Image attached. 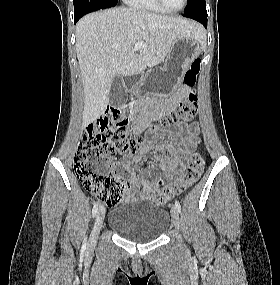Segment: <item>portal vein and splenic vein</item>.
Returning a JSON list of instances; mask_svg holds the SVG:
<instances>
[{
	"label": "portal vein and splenic vein",
	"instance_id": "portal-vein-and-splenic-vein-1",
	"mask_svg": "<svg viewBox=\"0 0 280 285\" xmlns=\"http://www.w3.org/2000/svg\"><path fill=\"white\" fill-rule=\"evenodd\" d=\"M142 47H144V45L141 42L138 41L134 45V50H139Z\"/></svg>",
	"mask_w": 280,
	"mask_h": 285
}]
</instances>
